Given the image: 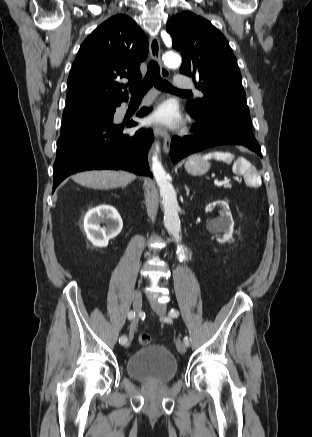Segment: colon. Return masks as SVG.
Listing matches in <instances>:
<instances>
[{
  "label": "colon",
  "instance_id": "5ec220e1",
  "mask_svg": "<svg viewBox=\"0 0 312 437\" xmlns=\"http://www.w3.org/2000/svg\"><path fill=\"white\" fill-rule=\"evenodd\" d=\"M138 341L141 345H148L151 342V336L148 333L141 332L138 335Z\"/></svg>",
  "mask_w": 312,
  "mask_h": 437
}]
</instances>
